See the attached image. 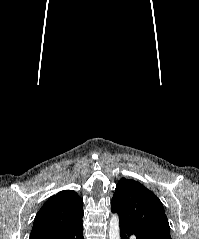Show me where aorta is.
Listing matches in <instances>:
<instances>
[{"label":"aorta","instance_id":"aorta-1","mask_svg":"<svg viewBox=\"0 0 199 239\" xmlns=\"http://www.w3.org/2000/svg\"><path fill=\"white\" fill-rule=\"evenodd\" d=\"M109 239H120L119 218L117 214H113L110 219Z\"/></svg>","mask_w":199,"mask_h":239}]
</instances>
